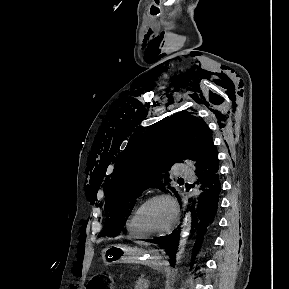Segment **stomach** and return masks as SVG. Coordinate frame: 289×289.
I'll use <instances>...</instances> for the list:
<instances>
[{"label":"stomach","instance_id":"obj_1","mask_svg":"<svg viewBox=\"0 0 289 289\" xmlns=\"http://www.w3.org/2000/svg\"><path fill=\"white\" fill-rule=\"evenodd\" d=\"M102 259L106 265L115 263H139L161 268L163 258L158 252H149L140 248H132L122 244H113L102 251Z\"/></svg>","mask_w":289,"mask_h":289}]
</instances>
